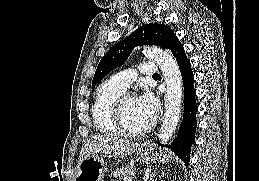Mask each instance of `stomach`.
<instances>
[{"instance_id": "1", "label": "stomach", "mask_w": 259, "mask_h": 181, "mask_svg": "<svg viewBox=\"0 0 259 181\" xmlns=\"http://www.w3.org/2000/svg\"><path fill=\"white\" fill-rule=\"evenodd\" d=\"M138 159L145 163L151 164L155 162L159 154L151 147L144 146L140 148ZM170 158L167 153H162L160 160L168 161ZM105 164L101 157L98 155H91L85 158L79 165L75 172L74 181H104Z\"/></svg>"}]
</instances>
